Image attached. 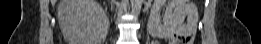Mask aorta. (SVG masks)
<instances>
[{
    "label": "aorta",
    "mask_w": 261,
    "mask_h": 44,
    "mask_svg": "<svg viewBox=\"0 0 261 44\" xmlns=\"http://www.w3.org/2000/svg\"><path fill=\"white\" fill-rule=\"evenodd\" d=\"M141 7H142V0H131V9H132V13L135 16H138L140 14Z\"/></svg>",
    "instance_id": "1"
}]
</instances>
